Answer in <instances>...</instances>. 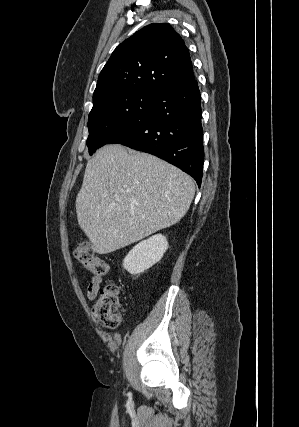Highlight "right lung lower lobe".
I'll use <instances>...</instances> for the list:
<instances>
[{
	"label": "right lung lower lobe",
	"instance_id": "right-lung-lower-lobe-1",
	"mask_svg": "<svg viewBox=\"0 0 299 427\" xmlns=\"http://www.w3.org/2000/svg\"><path fill=\"white\" fill-rule=\"evenodd\" d=\"M111 143L164 159L191 175L200 187L204 149L197 81L156 94L145 112Z\"/></svg>",
	"mask_w": 299,
	"mask_h": 427
}]
</instances>
